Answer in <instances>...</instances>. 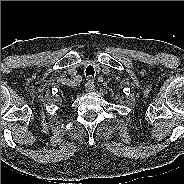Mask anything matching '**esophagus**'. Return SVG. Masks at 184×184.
<instances>
[{"mask_svg": "<svg viewBox=\"0 0 184 184\" xmlns=\"http://www.w3.org/2000/svg\"><path fill=\"white\" fill-rule=\"evenodd\" d=\"M94 88L93 79L89 78L85 84V89L87 92H91L94 91Z\"/></svg>", "mask_w": 184, "mask_h": 184, "instance_id": "34e87169", "label": "esophagus"}]
</instances>
